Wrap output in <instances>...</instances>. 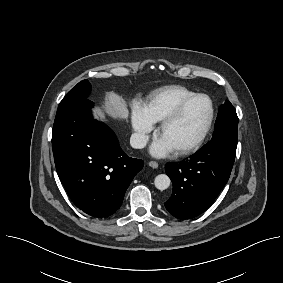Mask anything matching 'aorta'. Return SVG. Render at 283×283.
<instances>
[{"label":"aorta","instance_id":"1","mask_svg":"<svg viewBox=\"0 0 283 283\" xmlns=\"http://www.w3.org/2000/svg\"><path fill=\"white\" fill-rule=\"evenodd\" d=\"M171 180L166 174H159L155 177L154 184L159 190H165L170 186Z\"/></svg>","mask_w":283,"mask_h":283}]
</instances>
